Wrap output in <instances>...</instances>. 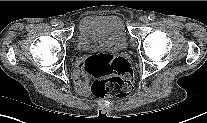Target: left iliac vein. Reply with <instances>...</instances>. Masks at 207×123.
Here are the masks:
<instances>
[{"label": "left iliac vein", "mask_w": 207, "mask_h": 123, "mask_svg": "<svg viewBox=\"0 0 207 123\" xmlns=\"http://www.w3.org/2000/svg\"><path fill=\"white\" fill-rule=\"evenodd\" d=\"M141 21H142L143 23H148V17H147V16H142V17H141Z\"/></svg>", "instance_id": "1"}]
</instances>
